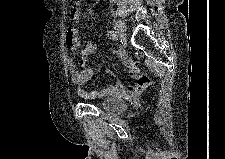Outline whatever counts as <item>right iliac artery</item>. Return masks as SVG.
I'll return each instance as SVG.
<instances>
[{
  "mask_svg": "<svg viewBox=\"0 0 225 159\" xmlns=\"http://www.w3.org/2000/svg\"><path fill=\"white\" fill-rule=\"evenodd\" d=\"M107 36H108L110 39L114 40V41L118 39V34H117V32L112 31V30H110V31L107 32Z\"/></svg>",
  "mask_w": 225,
  "mask_h": 159,
  "instance_id": "obj_1",
  "label": "right iliac artery"
}]
</instances>
